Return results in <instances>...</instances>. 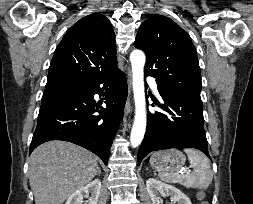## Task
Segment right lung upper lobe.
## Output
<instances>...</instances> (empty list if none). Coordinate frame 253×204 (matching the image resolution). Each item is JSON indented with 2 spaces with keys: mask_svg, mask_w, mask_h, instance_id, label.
Listing matches in <instances>:
<instances>
[{
  "mask_svg": "<svg viewBox=\"0 0 253 204\" xmlns=\"http://www.w3.org/2000/svg\"><path fill=\"white\" fill-rule=\"evenodd\" d=\"M117 67L116 41L110 21L92 13L65 34L52 58L47 82H92Z\"/></svg>",
  "mask_w": 253,
  "mask_h": 204,
  "instance_id": "cb5924a9",
  "label": "right lung upper lobe"
}]
</instances>
